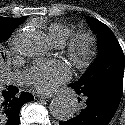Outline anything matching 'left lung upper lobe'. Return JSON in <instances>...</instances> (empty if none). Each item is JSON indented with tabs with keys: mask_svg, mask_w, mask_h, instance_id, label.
Masks as SVG:
<instances>
[{
	"mask_svg": "<svg viewBox=\"0 0 125 125\" xmlns=\"http://www.w3.org/2000/svg\"><path fill=\"white\" fill-rule=\"evenodd\" d=\"M86 19L97 33L99 54L80 80L70 86L80 95L106 90L122 91L124 74L122 48L108 26L89 16Z\"/></svg>",
	"mask_w": 125,
	"mask_h": 125,
	"instance_id": "5c2ea615",
	"label": "left lung upper lobe"
}]
</instances>
